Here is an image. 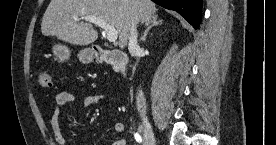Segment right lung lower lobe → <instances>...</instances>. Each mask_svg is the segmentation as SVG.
Wrapping results in <instances>:
<instances>
[{
	"instance_id": "right-lung-lower-lobe-1",
	"label": "right lung lower lobe",
	"mask_w": 276,
	"mask_h": 145,
	"mask_svg": "<svg viewBox=\"0 0 276 145\" xmlns=\"http://www.w3.org/2000/svg\"><path fill=\"white\" fill-rule=\"evenodd\" d=\"M158 5L177 11L195 29H198L201 22L202 0H152Z\"/></svg>"
}]
</instances>
